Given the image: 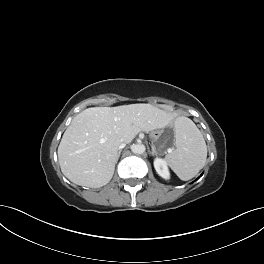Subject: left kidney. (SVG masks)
Returning a JSON list of instances; mask_svg holds the SVG:
<instances>
[{
    "mask_svg": "<svg viewBox=\"0 0 264 264\" xmlns=\"http://www.w3.org/2000/svg\"><path fill=\"white\" fill-rule=\"evenodd\" d=\"M154 168L156 172L164 179H169L170 173L167 167V163L165 160L161 158H156L154 160Z\"/></svg>",
    "mask_w": 264,
    "mask_h": 264,
    "instance_id": "5707ae66",
    "label": "left kidney"
}]
</instances>
